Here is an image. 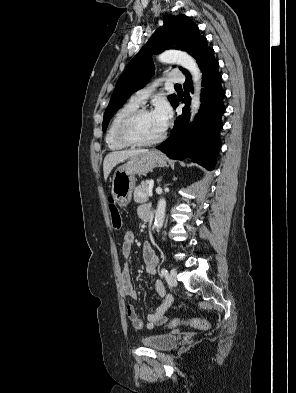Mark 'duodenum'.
I'll use <instances>...</instances> for the list:
<instances>
[{
    "instance_id": "obj_1",
    "label": "duodenum",
    "mask_w": 296,
    "mask_h": 393,
    "mask_svg": "<svg viewBox=\"0 0 296 393\" xmlns=\"http://www.w3.org/2000/svg\"><path fill=\"white\" fill-rule=\"evenodd\" d=\"M145 220H146V221L151 220V210H150V212L148 213V216L145 218Z\"/></svg>"
}]
</instances>
